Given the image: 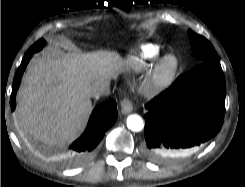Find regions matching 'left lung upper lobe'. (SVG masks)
Masks as SVG:
<instances>
[{
  "label": "left lung upper lobe",
  "instance_id": "obj_1",
  "mask_svg": "<svg viewBox=\"0 0 245 187\" xmlns=\"http://www.w3.org/2000/svg\"><path fill=\"white\" fill-rule=\"evenodd\" d=\"M188 35L192 44L193 54L201 63L217 59L214 47L205 37L194 33L192 30L188 31Z\"/></svg>",
  "mask_w": 245,
  "mask_h": 187
}]
</instances>
